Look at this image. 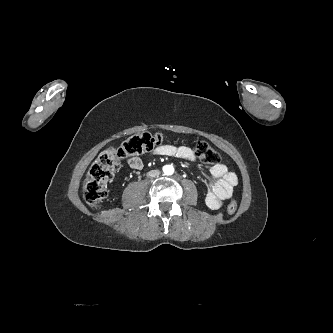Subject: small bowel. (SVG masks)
<instances>
[{
  "label": "small bowel",
  "mask_w": 333,
  "mask_h": 333,
  "mask_svg": "<svg viewBox=\"0 0 333 333\" xmlns=\"http://www.w3.org/2000/svg\"><path fill=\"white\" fill-rule=\"evenodd\" d=\"M153 154L190 161L195 159L193 150L187 146L161 145L154 150ZM128 165L132 169L140 170L143 167V161L140 157L135 156L128 160ZM210 175L213 180L209 183L205 203L208 208L217 210L222 206L224 200L232 196L233 190L238 184V177L221 162L210 168Z\"/></svg>",
  "instance_id": "c3829d8e"
}]
</instances>
